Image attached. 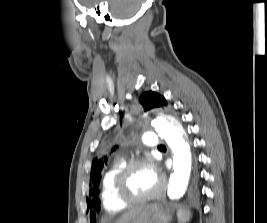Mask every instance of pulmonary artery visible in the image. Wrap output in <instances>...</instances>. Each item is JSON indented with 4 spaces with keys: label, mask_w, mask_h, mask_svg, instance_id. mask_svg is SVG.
<instances>
[{
    "label": "pulmonary artery",
    "mask_w": 267,
    "mask_h": 223,
    "mask_svg": "<svg viewBox=\"0 0 267 223\" xmlns=\"http://www.w3.org/2000/svg\"><path fill=\"white\" fill-rule=\"evenodd\" d=\"M143 144L149 147H156L159 144L157 135L153 133L145 134L142 138Z\"/></svg>",
    "instance_id": "e3ab8cb5"
}]
</instances>
